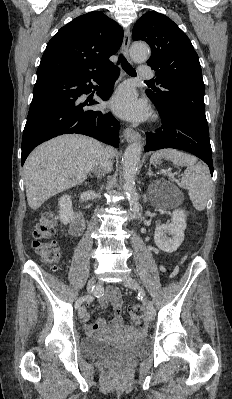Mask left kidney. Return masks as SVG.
<instances>
[{
  "label": "left kidney",
  "mask_w": 232,
  "mask_h": 399,
  "mask_svg": "<svg viewBox=\"0 0 232 399\" xmlns=\"http://www.w3.org/2000/svg\"><path fill=\"white\" fill-rule=\"evenodd\" d=\"M186 225L184 209H174L171 223H162V225H157L155 229L154 239L157 247L163 249V251H168V253L176 251L184 239ZM166 233H169L171 237H168Z\"/></svg>",
  "instance_id": "obj_1"
}]
</instances>
